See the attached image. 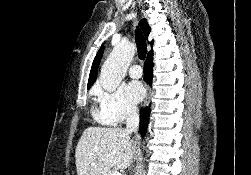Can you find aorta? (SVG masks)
<instances>
[{
  "instance_id": "1",
  "label": "aorta",
  "mask_w": 251,
  "mask_h": 175,
  "mask_svg": "<svg viewBox=\"0 0 251 175\" xmlns=\"http://www.w3.org/2000/svg\"><path fill=\"white\" fill-rule=\"evenodd\" d=\"M135 46L131 42H120L114 46L110 56L104 62L99 82L106 91H115L125 78L128 66L135 56Z\"/></svg>"
}]
</instances>
